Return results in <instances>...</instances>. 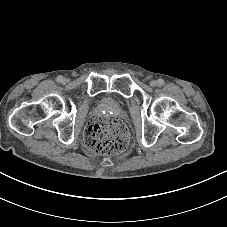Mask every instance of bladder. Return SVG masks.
Masks as SVG:
<instances>
[{
	"label": "bladder",
	"mask_w": 227,
	"mask_h": 227,
	"mask_svg": "<svg viewBox=\"0 0 227 227\" xmlns=\"http://www.w3.org/2000/svg\"><path fill=\"white\" fill-rule=\"evenodd\" d=\"M117 100H118V97L114 94H108V95H105L101 98L102 102L108 103V104L116 103Z\"/></svg>",
	"instance_id": "bladder-1"
}]
</instances>
